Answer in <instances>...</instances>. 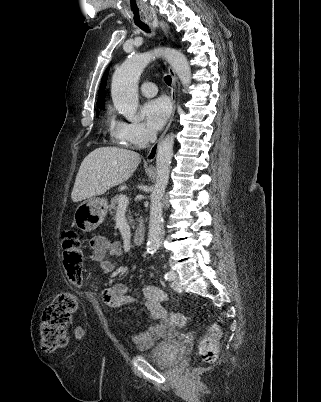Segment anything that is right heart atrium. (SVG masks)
<instances>
[{
  "mask_svg": "<svg viewBox=\"0 0 321 402\" xmlns=\"http://www.w3.org/2000/svg\"><path fill=\"white\" fill-rule=\"evenodd\" d=\"M123 143L135 147H145L153 138L152 133L140 122H122L119 130Z\"/></svg>",
  "mask_w": 321,
  "mask_h": 402,
  "instance_id": "right-heart-atrium-1",
  "label": "right heart atrium"
}]
</instances>
